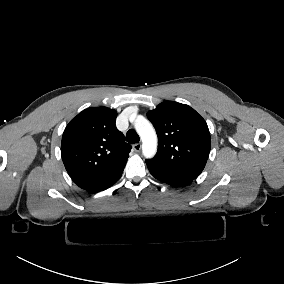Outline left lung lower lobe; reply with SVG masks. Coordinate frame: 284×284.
<instances>
[{
	"label": "left lung lower lobe",
	"instance_id": "left-lung-lower-lobe-1",
	"mask_svg": "<svg viewBox=\"0 0 284 284\" xmlns=\"http://www.w3.org/2000/svg\"><path fill=\"white\" fill-rule=\"evenodd\" d=\"M148 169L153 177L171 186H184L193 181V179H190L188 177L169 174V173L154 169L150 166H148Z\"/></svg>",
	"mask_w": 284,
	"mask_h": 284
}]
</instances>
